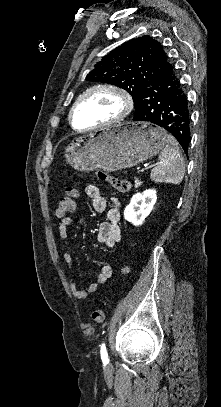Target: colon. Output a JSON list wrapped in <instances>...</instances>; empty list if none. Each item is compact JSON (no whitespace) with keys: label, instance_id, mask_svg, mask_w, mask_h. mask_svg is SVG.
<instances>
[{"label":"colon","instance_id":"obj_1","mask_svg":"<svg viewBox=\"0 0 221 407\" xmlns=\"http://www.w3.org/2000/svg\"><path fill=\"white\" fill-rule=\"evenodd\" d=\"M98 177L104 181L112 185L120 192H127L131 188V183L128 180H119L105 172L99 171ZM79 196V191L75 187H68L66 190L65 195L60 199L56 208H55V215L59 218H67L75 208L76 199ZM127 268H122V273H126ZM105 319V309L104 307H99L95 309L91 313V320L94 323L100 324Z\"/></svg>","mask_w":221,"mask_h":407}]
</instances>
